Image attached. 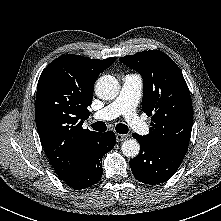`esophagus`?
<instances>
[{
    "label": "esophagus",
    "instance_id": "obj_1",
    "mask_svg": "<svg viewBox=\"0 0 221 221\" xmlns=\"http://www.w3.org/2000/svg\"><path fill=\"white\" fill-rule=\"evenodd\" d=\"M127 139L126 135H122V134H116V141L117 142H121Z\"/></svg>",
    "mask_w": 221,
    "mask_h": 221
}]
</instances>
